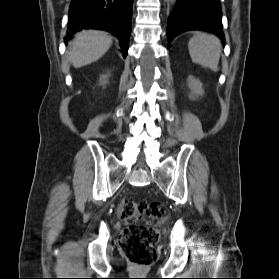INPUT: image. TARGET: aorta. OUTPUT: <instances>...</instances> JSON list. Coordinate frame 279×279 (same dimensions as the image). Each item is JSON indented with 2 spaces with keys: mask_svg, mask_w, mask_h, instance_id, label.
Instances as JSON below:
<instances>
[{
  "mask_svg": "<svg viewBox=\"0 0 279 279\" xmlns=\"http://www.w3.org/2000/svg\"><path fill=\"white\" fill-rule=\"evenodd\" d=\"M171 4H175L176 0H168Z\"/></svg>",
  "mask_w": 279,
  "mask_h": 279,
  "instance_id": "1",
  "label": "aorta"
}]
</instances>
